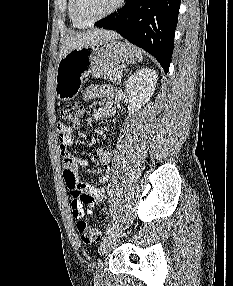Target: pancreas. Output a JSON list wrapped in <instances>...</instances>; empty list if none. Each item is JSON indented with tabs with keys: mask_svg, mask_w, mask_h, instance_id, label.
<instances>
[{
	"mask_svg": "<svg viewBox=\"0 0 233 286\" xmlns=\"http://www.w3.org/2000/svg\"><path fill=\"white\" fill-rule=\"evenodd\" d=\"M118 72H121V66L104 65L101 68H98L95 71H93L92 75L96 78L103 77L108 81H112L113 83L119 84L121 82V78L117 76Z\"/></svg>",
	"mask_w": 233,
	"mask_h": 286,
	"instance_id": "pancreas-1",
	"label": "pancreas"
}]
</instances>
